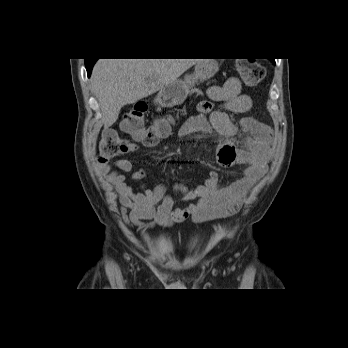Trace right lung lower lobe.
<instances>
[{
	"label": "right lung lower lobe",
	"mask_w": 348,
	"mask_h": 348,
	"mask_svg": "<svg viewBox=\"0 0 348 348\" xmlns=\"http://www.w3.org/2000/svg\"><path fill=\"white\" fill-rule=\"evenodd\" d=\"M95 62H96V59H92V60L85 59V65H86L88 76H90L92 67Z\"/></svg>",
	"instance_id": "98d812e1"
}]
</instances>
